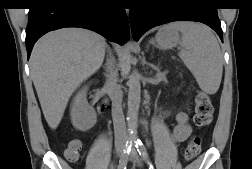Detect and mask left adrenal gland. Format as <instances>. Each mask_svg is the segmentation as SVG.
Returning <instances> with one entry per match:
<instances>
[{
    "label": "left adrenal gland",
    "instance_id": "a2214340",
    "mask_svg": "<svg viewBox=\"0 0 252 169\" xmlns=\"http://www.w3.org/2000/svg\"><path fill=\"white\" fill-rule=\"evenodd\" d=\"M149 43L152 44V45H154L155 47H158V46L156 45L154 39H152Z\"/></svg>",
    "mask_w": 252,
    "mask_h": 169
}]
</instances>
